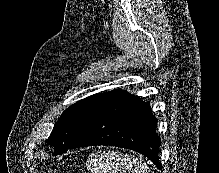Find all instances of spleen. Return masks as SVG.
<instances>
[{
    "label": "spleen",
    "instance_id": "spleen-1",
    "mask_svg": "<svg viewBox=\"0 0 219 173\" xmlns=\"http://www.w3.org/2000/svg\"><path fill=\"white\" fill-rule=\"evenodd\" d=\"M89 160L88 169L91 173H153L146 163L135 156L118 152L96 153Z\"/></svg>",
    "mask_w": 219,
    "mask_h": 173
}]
</instances>
